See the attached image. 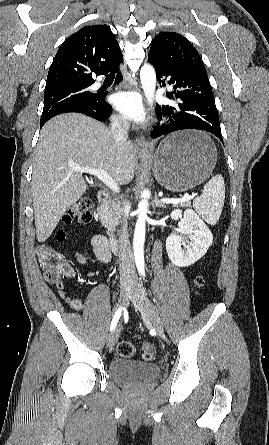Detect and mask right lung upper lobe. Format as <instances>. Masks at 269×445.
<instances>
[{"label":"right lung upper lobe","mask_w":269,"mask_h":445,"mask_svg":"<svg viewBox=\"0 0 269 445\" xmlns=\"http://www.w3.org/2000/svg\"><path fill=\"white\" fill-rule=\"evenodd\" d=\"M123 61L122 52L107 25H89L66 39L49 68L45 89L93 84L92 72L106 75Z\"/></svg>","instance_id":"obj_1"}]
</instances>
